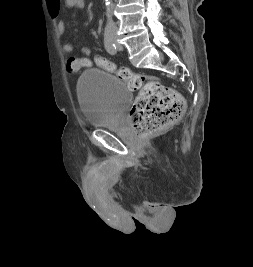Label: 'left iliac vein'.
<instances>
[{"label":"left iliac vein","instance_id":"1","mask_svg":"<svg viewBox=\"0 0 253 267\" xmlns=\"http://www.w3.org/2000/svg\"><path fill=\"white\" fill-rule=\"evenodd\" d=\"M113 40L115 41V44H116L118 50H121L123 47H122V45H121L120 43H118V42L116 41V37H113Z\"/></svg>","mask_w":253,"mask_h":267}]
</instances>
